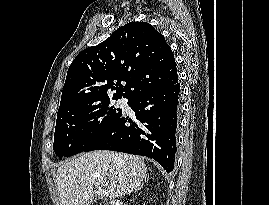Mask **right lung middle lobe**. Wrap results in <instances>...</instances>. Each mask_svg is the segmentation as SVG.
Returning <instances> with one entry per match:
<instances>
[{"mask_svg":"<svg viewBox=\"0 0 269 205\" xmlns=\"http://www.w3.org/2000/svg\"><path fill=\"white\" fill-rule=\"evenodd\" d=\"M121 115L122 110L108 100L57 118L53 146L55 154L61 158L83 152Z\"/></svg>","mask_w":269,"mask_h":205,"instance_id":"right-lung-middle-lobe-1","label":"right lung middle lobe"}]
</instances>
